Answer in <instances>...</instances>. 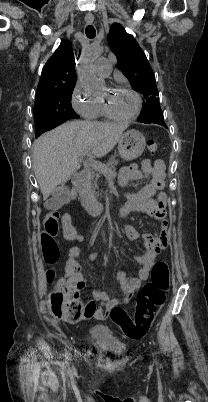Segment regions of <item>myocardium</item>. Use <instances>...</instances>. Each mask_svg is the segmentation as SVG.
Here are the masks:
<instances>
[{
	"label": "myocardium",
	"mask_w": 208,
	"mask_h": 402,
	"mask_svg": "<svg viewBox=\"0 0 208 402\" xmlns=\"http://www.w3.org/2000/svg\"><path fill=\"white\" fill-rule=\"evenodd\" d=\"M115 90H124V91H127V92L133 94L137 100L136 109L133 113H131L129 115L119 114L116 111H114L110 102L108 101L107 98L109 97V95L107 93H102V94L98 95V99H99L100 103L102 104L103 108L107 111V113L110 116H112L113 118H115L116 120H120V121H128V120H131V119H134L135 117H137L141 113V110L143 107L142 96L136 90H134L128 86H125V85L117 86L114 89V91Z\"/></svg>",
	"instance_id": "myocardium-1"
}]
</instances>
